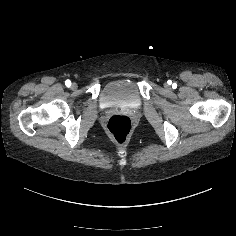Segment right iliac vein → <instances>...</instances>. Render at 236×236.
I'll list each match as a JSON object with an SVG mask.
<instances>
[{
    "label": "right iliac vein",
    "mask_w": 236,
    "mask_h": 236,
    "mask_svg": "<svg viewBox=\"0 0 236 236\" xmlns=\"http://www.w3.org/2000/svg\"><path fill=\"white\" fill-rule=\"evenodd\" d=\"M71 88H72L73 90L77 89V84H76V83H72Z\"/></svg>",
    "instance_id": "1"
}]
</instances>
